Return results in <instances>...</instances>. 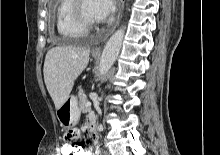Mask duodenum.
Masks as SVG:
<instances>
[{
    "instance_id": "duodenum-1",
    "label": "duodenum",
    "mask_w": 220,
    "mask_h": 155,
    "mask_svg": "<svg viewBox=\"0 0 220 155\" xmlns=\"http://www.w3.org/2000/svg\"><path fill=\"white\" fill-rule=\"evenodd\" d=\"M89 134L93 139L97 138V128L95 120H92L89 124Z\"/></svg>"
}]
</instances>
